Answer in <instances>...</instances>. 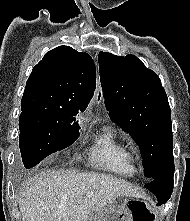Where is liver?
I'll use <instances>...</instances> for the list:
<instances>
[{
	"label": "liver",
	"mask_w": 190,
	"mask_h": 221,
	"mask_svg": "<svg viewBox=\"0 0 190 221\" xmlns=\"http://www.w3.org/2000/svg\"><path fill=\"white\" fill-rule=\"evenodd\" d=\"M88 192L93 196L88 198ZM119 196L138 197L137 189L124 180L100 173L46 170L21 191L22 221H87Z\"/></svg>",
	"instance_id": "liver-1"
}]
</instances>
